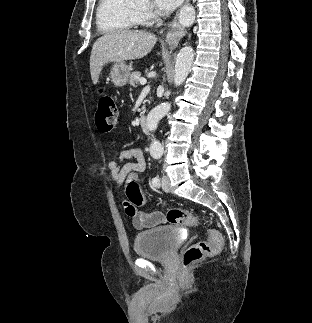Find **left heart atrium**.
Instances as JSON below:
<instances>
[{"label":"left heart atrium","mask_w":312,"mask_h":323,"mask_svg":"<svg viewBox=\"0 0 312 323\" xmlns=\"http://www.w3.org/2000/svg\"><path fill=\"white\" fill-rule=\"evenodd\" d=\"M183 0H150L149 8H161L162 12H175Z\"/></svg>","instance_id":"1"}]
</instances>
